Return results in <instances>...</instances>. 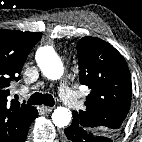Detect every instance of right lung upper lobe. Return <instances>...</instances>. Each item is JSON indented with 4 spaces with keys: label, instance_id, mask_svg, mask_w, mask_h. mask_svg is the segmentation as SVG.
<instances>
[{
    "label": "right lung upper lobe",
    "instance_id": "obj_1",
    "mask_svg": "<svg viewBox=\"0 0 142 142\" xmlns=\"http://www.w3.org/2000/svg\"><path fill=\"white\" fill-rule=\"evenodd\" d=\"M41 32L0 29V142H19L37 109L17 100L8 102L9 86L20 79L30 50L41 39Z\"/></svg>",
    "mask_w": 142,
    "mask_h": 142
}]
</instances>
